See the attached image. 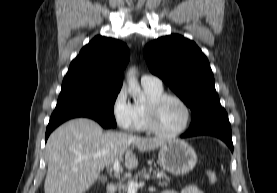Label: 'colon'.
Listing matches in <instances>:
<instances>
[{"mask_svg":"<svg viewBox=\"0 0 277 193\" xmlns=\"http://www.w3.org/2000/svg\"><path fill=\"white\" fill-rule=\"evenodd\" d=\"M206 176H207V179H208V182L211 184V185H215L218 183V174L213 171V170H208L206 172Z\"/></svg>","mask_w":277,"mask_h":193,"instance_id":"5ec220e1","label":"colon"}]
</instances>
